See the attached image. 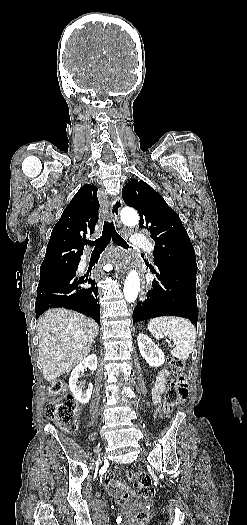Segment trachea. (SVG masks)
<instances>
[{"instance_id": "obj_1", "label": "trachea", "mask_w": 247, "mask_h": 525, "mask_svg": "<svg viewBox=\"0 0 247 525\" xmlns=\"http://www.w3.org/2000/svg\"><path fill=\"white\" fill-rule=\"evenodd\" d=\"M112 240L115 245H119L122 248L128 249L132 248L128 243L116 232L113 221L106 220L103 226V232L100 238L97 240H89L86 242L91 247H94L93 253L103 252L108 243Z\"/></svg>"}]
</instances>
